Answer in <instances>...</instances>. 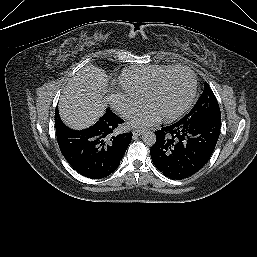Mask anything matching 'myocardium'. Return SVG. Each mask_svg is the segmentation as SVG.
Returning <instances> with one entry per match:
<instances>
[{
    "instance_id": "f54148a6",
    "label": "myocardium",
    "mask_w": 257,
    "mask_h": 257,
    "mask_svg": "<svg viewBox=\"0 0 257 257\" xmlns=\"http://www.w3.org/2000/svg\"><path fill=\"white\" fill-rule=\"evenodd\" d=\"M177 71H185L190 75V77H191V87H190V91H189V94H188L186 100L184 101V103L177 110H175L174 112H172L170 114L161 116L162 119L165 120V121H171V120L176 119L177 117L182 115L190 107V105L193 102V99L195 97L196 90H197V78H196L195 72L188 66H184V65L172 66L171 68L166 70L164 73H162L154 81V83L151 85V87L147 91V93L145 95V98H144L145 105H148L149 100L157 92V90L160 88L163 81L169 75H171L172 73L177 72Z\"/></svg>"
}]
</instances>
